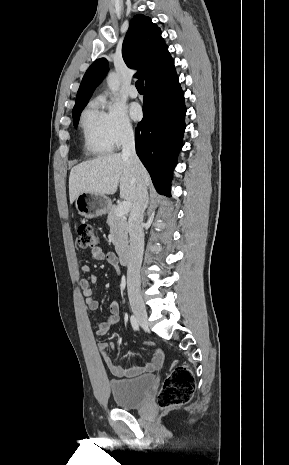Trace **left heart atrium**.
Here are the masks:
<instances>
[{"instance_id": "obj_1", "label": "left heart atrium", "mask_w": 289, "mask_h": 465, "mask_svg": "<svg viewBox=\"0 0 289 465\" xmlns=\"http://www.w3.org/2000/svg\"><path fill=\"white\" fill-rule=\"evenodd\" d=\"M130 115L134 120H140L142 117V109L138 104H132L130 106Z\"/></svg>"}]
</instances>
